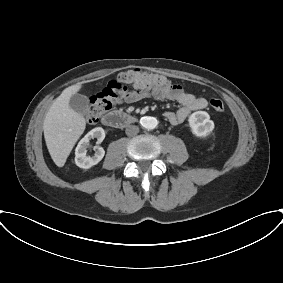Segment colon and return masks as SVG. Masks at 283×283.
Instances as JSON below:
<instances>
[{
  "label": "colon",
  "mask_w": 283,
  "mask_h": 283,
  "mask_svg": "<svg viewBox=\"0 0 283 283\" xmlns=\"http://www.w3.org/2000/svg\"><path fill=\"white\" fill-rule=\"evenodd\" d=\"M126 85L137 89L140 93L149 94L155 90L166 88L169 82L163 75L141 69H130L122 72L101 93L92 97L87 115L88 122L97 123L111 109L113 100L126 89ZM209 103L212 110L216 112L224 111L225 106L222 100L213 98Z\"/></svg>",
  "instance_id": "colon-1"
}]
</instances>
